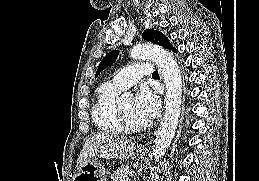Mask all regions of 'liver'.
Returning <instances> with one entry per match:
<instances>
[{
	"instance_id": "6515ba94",
	"label": "liver",
	"mask_w": 259,
	"mask_h": 181,
	"mask_svg": "<svg viewBox=\"0 0 259 181\" xmlns=\"http://www.w3.org/2000/svg\"><path fill=\"white\" fill-rule=\"evenodd\" d=\"M136 149L133 142L114 134L97 133L91 136L83 146L77 160V169L89 160L96 158L128 159Z\"/></svg>"
}]
</instances>
